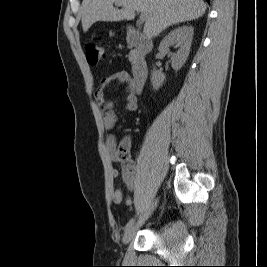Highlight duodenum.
Wrapping results in <instances>:
<instances>
[{"label":"duodenum","instance_id":"1","mask_svg":"<svg viewBox=\"0 0 267 267\" xmlns=\"http://www.w3.org/2000/svg\"><path fill=\"white\" fill-rule=\"evenodd\" d=\"M126 41L135 50L136 57L132 63V75L136 92H140L147 80L148 66L145 56L152 50V42L137 29L129 27L126 31Z\"/></svg>","mask_w":267,"mask_h":267}]
</instances>
